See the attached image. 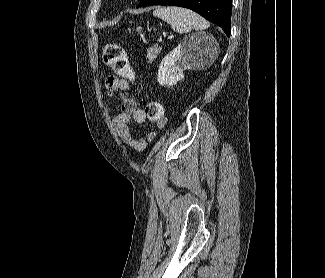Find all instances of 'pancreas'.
<instances>
[{
  "label": "pancreas",
  "mask_w": 325,
  "mask_h": 278,
  "mask_svg": "<svg viewBox=\"0 0 325 278\" xmlns=\"http://www.w3.org/2000/svg\"><path fill=\"white\" fill-rule=\"evenodd\" d=\"M161 49L162 48L159 47L158 45H154L153 47H150L149 49H147L146 58H148V62H153L154 59L157 57V55L160 54Z\"/></svg>",
  "instance_id": "obj_1"
}]
</instances>
